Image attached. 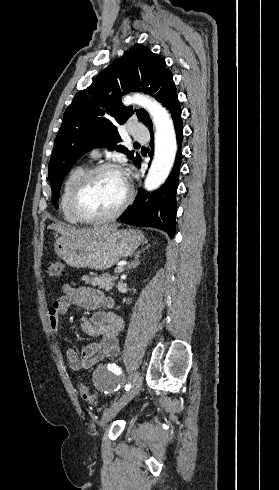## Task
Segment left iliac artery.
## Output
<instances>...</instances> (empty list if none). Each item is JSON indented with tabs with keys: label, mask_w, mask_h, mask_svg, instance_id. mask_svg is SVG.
I'll use <instances>...</instances> for the list:
<instances>
[{
	"label": "left iliac artery",
	"mask_w": 279,
	"mask_h": 490,
	"mask_svg": "<svg viewBox=\"0 0 279 490\" xmlns=\"http://www.w3.org/2000/svg\"><path fill=\"white\" fill-rule=\"evenodd\" d=\"M109 370L114 372L115 374L119 375L122 373L121 368H119L116 364H109L108 365ZM130 386V385H129ZM127 390V389H126ZM129 390V389H128Z\"/></svg>",
	"instance_id": "left-iliac-artery-1"
}]
</instances>
